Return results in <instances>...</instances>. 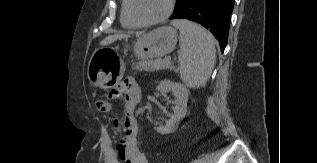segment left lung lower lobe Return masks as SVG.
Instances as JSON below:
<instances>
[{
	"instance_id": "1",
	"label": "left lung lower lobe",
	"mask_w": 317,
	"mask_h": 163,
	"mask_svg": "<svg viewBox=\"0 0 317 163\" xmlns=\"http://www.w3.org/2000/svg\"><path fill=\"white\" fill-rule=\"evenodd\" d=\"M234 0H178L170 19H189L209 29L224 51Z\"/></svg>"
}]
</instances>
